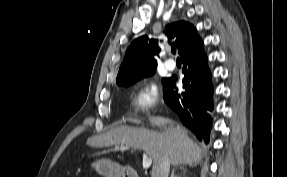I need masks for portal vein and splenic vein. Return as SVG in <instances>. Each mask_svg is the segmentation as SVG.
Masks as SVG:
<instances>
[{
	"label": "portal vein and splenic vein",
	"instance_id": "portal-vein-and-splenic-vein-1",
	"mask_svg": "<svg viewBox=\"0 0 287 177\" xmlns=\"http://www.w3.org/2000/svg\"><path fill=\"white\" fill-rule=\"evenodd\" d=\"M129 147L127 146H121V150H127ZM152 164V158L148 157L145 153H143V160H142V166L144 169H148Z\"/></svg>",
	"mask_w": 287,
	"mask_h": 177
}]
</instances>
